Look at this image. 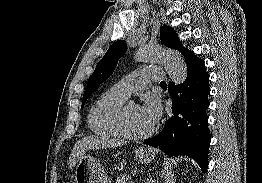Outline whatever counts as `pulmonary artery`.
I'll return each instance as SVG.
<instances>
[{"label":"pulmonary artery","mask_w":262,"mask_h":183,"mask_svg":"<svg viewBox=\"0 0 262 183\" xmlns=\"http://www.w3.org/2000/svg\"><path fill=\"white\" fill-rule=\"evenodd\" d=\"M163 79V71L156 68H144L135 71L113 85L118 93L128 97L133 91L145 87L150 81L159 82Z\"/></svg>","instance_id":"e3ab8cb5"}]
</instances>
